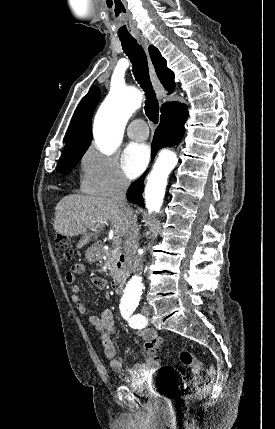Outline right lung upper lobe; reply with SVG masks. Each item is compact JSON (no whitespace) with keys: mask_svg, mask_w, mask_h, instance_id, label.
Instances as JSON below:
<instances>
[{"mask_svg":"<svg viewBox=\"0 0 275 429\" xmlns=\"http://www.w3.org/2000/svg\"><path fill=\"white\" fill-rule=\"evenodd\" d=\"M149 53L159 80L169 93H171L175 86L173 72L167 67L166 60L161 56L157 48L149 46ZM99 98V88L93 87L79 103L66 134L62 157L85 152L89 147L92 141L91 119ZM176 103L177 102L164 103L161 106V117L169 112Z\"/></svg>","mask_w":275,"mask_h":429,"instance_id":"obj_1","label":"right lung upper lobe"}]
</instances>
